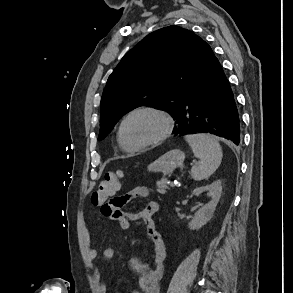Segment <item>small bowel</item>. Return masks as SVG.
<instances>
[{
    "instance_id": "obj_1",
    "label": "small bowel",
    "mask_w": 293,
    "mask_h": 293,
    "mask_svg": "<svg viewBox=\"0 0 293 293\" xmlns=\"http://www.w3.org/2000/svg\"><path fill=\"white\" fill-rule=\"evenodd\" d=\"M149 190L146 187H135L131 191L118 195L115 198V203H107L101 206L102 212L111 220L117 221L120 228L124 231L129 229L130 223L134 221H142L147 227V234L152 243L153 256L151 260L143 262L140 258L133 256L130 259V267L139 273V290L132 293H160L159 282L164 270V262L166 258L165 242L162 234L159 231L158 223L155 215L159 210V204L155 201L147 203L139 212L132 213L123 210V207L134 198H147ZM84 244L85 253L88 261L92 262L97 257V250L92 245L91 232L88 226L84 227ZM115 255L113 247L108 246L103 250L105 259H112ZM98 280L99 274L95 275ZM99 288L106 292L107 286L100 284Z\"/></svg>"
}]
</instances>
